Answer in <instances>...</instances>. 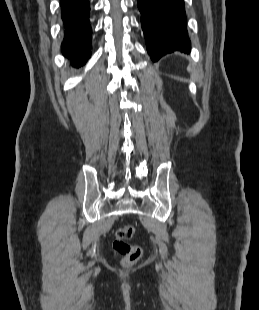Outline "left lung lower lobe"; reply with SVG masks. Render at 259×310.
Listing matches in <instances>:
<instances>
[{"instance_id":"obj_1","label":"left lung lower lobe","mask_w":259,"mask_h":310,"mask_svg":"<svg viewBox=\"0 0 259 310\" xmlns=\"http://www.w3.org/2000/svg\"><path fill=\"white\" fill-rule=\"evenodd\" d=\"M147 52L155 62L174 51L188 53L184 0H137Z\"/></svg>"}]
</instances>
